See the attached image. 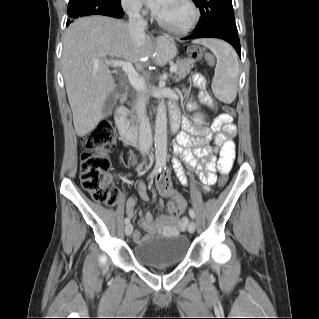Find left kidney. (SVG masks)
I'll return each mask as SVG.
<instances>
[{
    "instance_id": "5707ae66",
    "label": "left kidney",
    "mask_w": 319,
    "mask_h": 319,
    "mask_svg": "<svg viewBox=\"0 0 319 319\" xmlns=\"http://www.w3.org/2000/svg\"><path fill=\"white\" fill-rule=\"evenodd\" d=\"M193 121H194V123H196V124H198V125L203 124V118H202V116L199 115V114H195V115H194Z\"/></svg>"
}]
</instances>
